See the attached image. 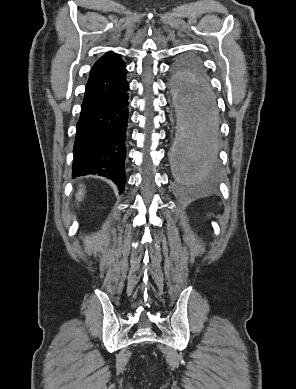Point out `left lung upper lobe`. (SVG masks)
Wrapping results in <instances>:
<instances>
[{
    "label": "left lung upper lobe",
    "mask_w": 296,
    "mask_h": 389,
    "mask_svg": "<svg viewBox=\"0 0 296 389\" xmlns=\"http://www.w3.org/2000/svg\"><path fill=\"white\" fill-rule=\"evenodd\" d=\"M173 71L175 74V78L173 81V85L182 90L188 88H194L196 84L197 77H206L203 68L198 59L192 56H185L180 58L173 67ZM207 78V77H206ZM182 97L184 98V102L186 105L185 115L191 123L193 124V113L188 107V103L183 93ZM208 125L205 126V129H208ZM191 131V130H190Z\"/></svg>",
    "instance_id": "1"
}]
</instances>
